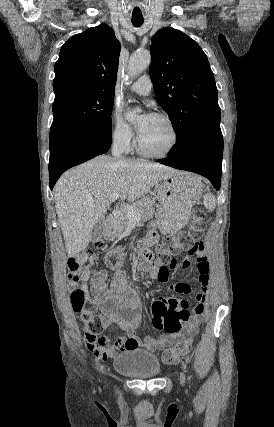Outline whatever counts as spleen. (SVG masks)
Returning <instances> with one entry per match:
<instances>
[{
	"mask_svg": "<svg viewBox=\"0 0 274 427\" xmlns=\"http://www.w3.org/2000/svg\"><path fill=\"white\" fill-rule=\"evenodd\" d=\"M194 190H201V186H202V182L200 180V178H197V180H195V182H193L192 184ZM204 200H203V204L206 208V210H214V208H216V198L215 196H213V194H205V196H203ZM193 200H196V194H194L193 196Z\"/></svg>",
	"mask_w": 274,
	"mask_h": 427,
	"instance_id": "1",
	"label": "spleen"
}]
</instances>
